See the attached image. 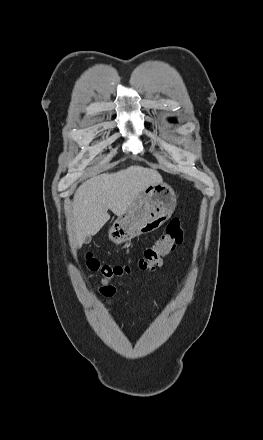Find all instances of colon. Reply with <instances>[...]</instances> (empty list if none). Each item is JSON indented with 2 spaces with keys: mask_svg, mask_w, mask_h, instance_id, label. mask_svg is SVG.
<instances>
[{
  "mask_svg": "<svg viewBox=\"0 0 263 440\" xmlns=\"http://www.w3.org/2000/svg\"><path fill=\"white\" fill-rule=\"evenodd\" d=\"M183 235L181 221L177 218L172 219L157 241L144 250L143 256L136 262L135 267L141 271L155 270L161 265L163 257L182 242ZM86 265L91 272L100 276L104 284L119 280L131 272L129 265L103 264L91 254L86 257Z\"/></svg>",
  "mask_w": 263,
  "mask_h": 440,
  "instance_id": "1",
  "label": "colon"
}]
</instances>
